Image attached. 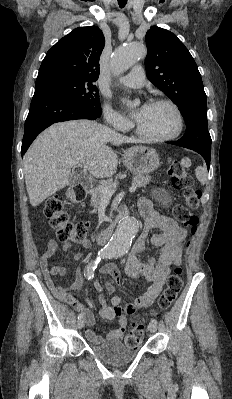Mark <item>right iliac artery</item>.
I'll use <instances>...</instances> for the list:
<instances>
[{
	"instance_id": "right-iliac-artery-1",
	"label": "right iliac artery",
	"mask_w": 232,
	"mask_h": 399,
	"mask_svg": "<svg viewBox=\"0 0 232 399\" xmlns=\"http://www.w3.org/2000/svg\"><path fill=\"white\" fill-rule=\"evenodd\" d=\"M102 258H103L102 256H97L94 260H92L85 266L84 275L88 280L93 279L94 271L97 268V265L99 264V262L101 261ZM77 318H78V320H82L83 315L79 314Z\"/></svg>"
}]
</instances>
